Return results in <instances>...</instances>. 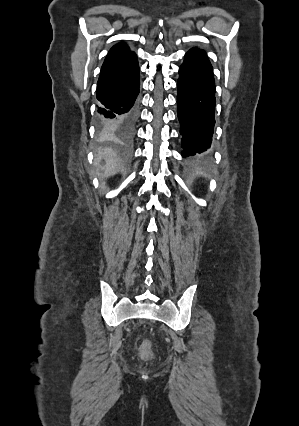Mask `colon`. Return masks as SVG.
Returning <instances> with one entry per match:
<instances>
[{"mask_svg": "<svg viewBox=\"0 0 299 426\" xmlns=\"http://www.w3.org/2000/svg\"><path fill=\"white\" fill-rule=\"evenodd\" d=\"M141 356L144 359H150L152 357V351L150 349V344L147 341L144 342L143 345H142Z\"/></svg>", "mask_w": 299, "mask_h": 426, "instance_id": "5ec220e1", "label": "colon"}]
</instances>
